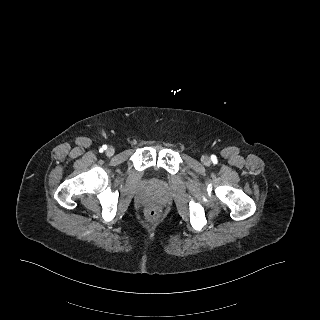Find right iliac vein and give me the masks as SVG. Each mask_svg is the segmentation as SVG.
Instances as JSON below:
<instances>
[{"label":"right iliac vein","instance_id":"obj_1","mask_svg":"<svg viewBox=\"0 0 320 320\" xmlns=\"http://www.w3.org/2000/svg\"><path fill=\"white\" fill-rule=\"evenodd\" d=\"M115 150L113 147H109L107 150H106V154L107 156H112L114 154Z\"/></svg>","mask_w":320,"mask_h":320}]
</instances>
